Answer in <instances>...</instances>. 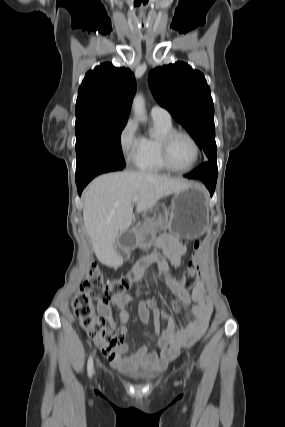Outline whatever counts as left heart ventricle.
<instances>
[{"mask_svg": "<svg viewBox=\"0 0 285 427\" xmlns=\"http://www.w3.org/2000/svg\"><path fill=\"white\" fill-rule=\"evenodd\" d=\"M195 156V149L191 141L185 136H177L170 145L169 159L178 169L189 167Z\"/></svg>", "mask_w": 285, "mask_h": 427, "instance_id": "obj_1", "label": "left heart ventricle"}]
</instances>
